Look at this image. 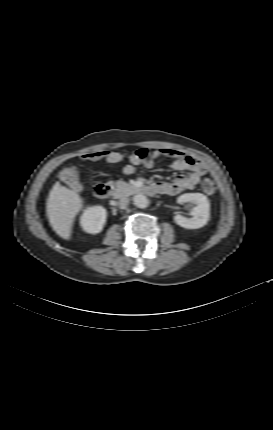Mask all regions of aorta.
Returning <instances> with one entry per match:
<instances>
[{
  "label": "aorta",
  "instance_id": "obj_1",
  "mask_svg": "<svg viewBox=\"0 0 273 430\" xmlns=\"http://www.w3.org/2000/svg\"><path fill=\"white\" fill-rule=\"evenodd\" d=\"M133 202L135 204V206H137L138 208H146L149 205V200L148 198L143 195V194H136L133 197Z\"/></svg>",
  "mask_w": 273,
  "mask_h": 430
}]
</instances>
